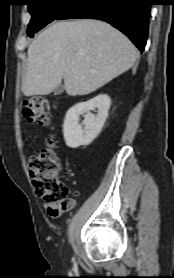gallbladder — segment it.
Masks as SVG:
<instances>
[{
  "instance_id": "1",
  "label": "gallbladder",
  "mask_w": 174,
  "mask_h": 278,
  "mask_svg": "<svg viewBox=\"0 0 174 278\" xmlns=\"http://www.w3.org/2000/svg\"><path fill=\"white\" fill-rule=\"evenodd\" d=\"M64 91L63 85H59L55 90H54V95H60Z\"/></svg>"
}]
</instances>
